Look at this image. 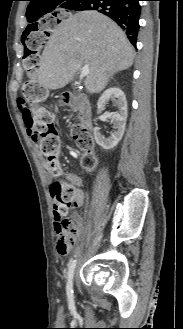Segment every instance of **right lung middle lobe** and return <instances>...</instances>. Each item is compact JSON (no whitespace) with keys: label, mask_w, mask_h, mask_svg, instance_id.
Wrapping results in <instances>:
<instances>
[{"label":"right lung middle lobe","mask_w":183,"mask_h":329,"mask_svg":"<svg viewBox=\"0 0 183 329\" xmlns=\"http://www.w3.org/2000/svg\"><path fill=\"white\" fill-rule=\"evenodd\" d=\"M74 1V0H73ZM72 0L71 1H69V2H65V3H63L62 5H60L61 3H62V1H60V2H56L54 5H52V6H50L49 8H47L45 11H46V14L47 13H52L53 15H55L56 14V12L60 9V8H65V9H67V6L71 3V2H73ZM45 15V14H44ZM29 22V21H28ZM30 23H32V22H30ZM34 25H36V24H34ZM29 31L30 30H26L25 31V33L26 34H28L29 33ZM25 39V37H23V39H22V41Z\"/></svg>","instance_id":"1"}]
</instances>
